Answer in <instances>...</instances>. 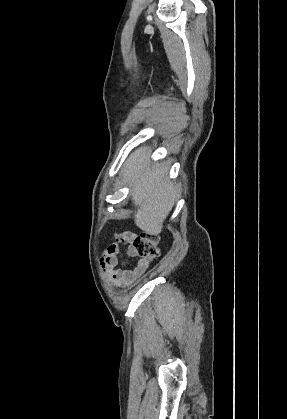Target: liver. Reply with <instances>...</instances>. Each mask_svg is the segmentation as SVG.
Segmentation results:
<instances>
[{
    "instance_id": "liver-1",
    "label": "liver",
    "mask_w": 287,
    "mask_h": 419,
    "mask_svg": "<svg viewBox=\"0 0 287 419\" xmlns=\"http://www.w3.org/2000/svg\"><path fill=\"white\" fill-rule=\"evenodd\" d=\"M151 150L141 147L124 163V182L131 187L132 202L137 208L135 224L149 235H158L163 223L179 197L177 188L168 179V166L150 163Z\"/></svg>"
}]
</instances>
